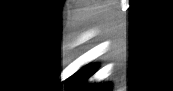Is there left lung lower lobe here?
Listing matches in <instances>:
<instances>
[{
  "instance_id": "1",
  "label": "left lung lower lobe",
  "mask_w": 173,
  "mask_h": 91,
  "mask_svg": "<svg viewBox=\"0 0 173 91\" xmlns=\"http://www.w3.org/2000/svg\"><path fill=\"white\" fill-rule=\"evenodd\" d=\"M94 70H95V67H88L81 70L79 73L73 76L72 79H70L67 85V88L69 90H76L84 83L85 80H87L92 75ZM85 90L86 91H107L108 85L107 84L100 85V86L95 85Z\"/></svg>"
}]
</instances>
